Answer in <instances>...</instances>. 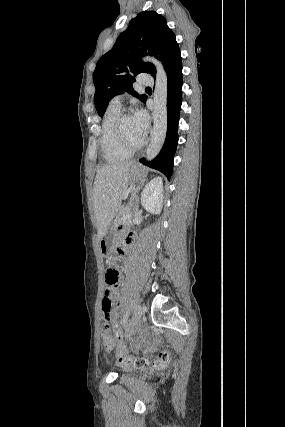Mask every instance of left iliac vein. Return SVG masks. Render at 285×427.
<instances>
[{"label":"left iliac vein","mask_w":285,"mask_h":427,"mask_svg":"<svg viewBox=\"0 0 285 427\" xmlns=\"http://www.w3.org/2000/svg\"><path fill=\"white\" fill-rule=\"evenodd\" d=\"M143 314H144V308L143 306L139 305L134 311L129 328L127 330V334H126L127 340H130L135 334L136 326L141 321Z\"/></svg>","instance_id":"1"}]
</instances>
